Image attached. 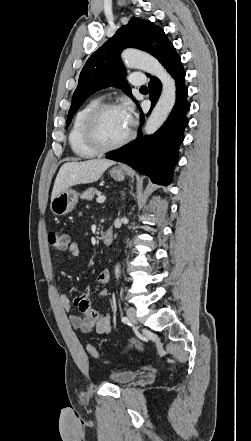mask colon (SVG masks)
<instances>
[{
  "mask_svg": "<svg viewBox=\"0 0 251 441\" xmlns=\"http://www.w3.org/2000/svg\"><path fill=\"white\" fill-rule=\"evenodd\" d=\"M48 241L53 249L57 251H63L68 247L69 237L67 234L61 231L54 230L48 234ZM87 350L92 357L96 358L99 356L98 350L95 346L89 345Z\"/></svg>",
  "mask_w": 251,
  "mask_h": 441,
  "instance_id": "colon-1",
  "label": "colon"
}]
</instances>
